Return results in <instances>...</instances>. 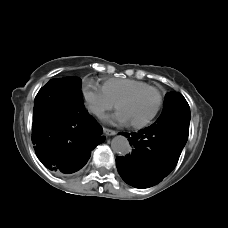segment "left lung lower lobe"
Returning a JSON list of instances; mask_svg holds the SVG:
<instances>
[{
  "label": "left lung lower lobe",
  "instance_id": "left-lung-lower-lobe-1",
  "mask_svg": "<svg viewBox=\"0 0 228 228\" xmlns=\"http://www.w3.org/2000/svg\"><path fill=\"white\" fill-rule=\"evenodd\" d=\"M183 134L156 122L138 133H124L134 149L130 155L116 158L119 174L137 188L159 183L178 162L188 139Z\"/></svg>",
  "mask_w": 228,
  "mask_h": 228
}]
</instances>
